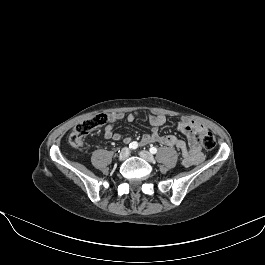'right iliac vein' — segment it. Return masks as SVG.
Returning <instances> with one entry per match:
<instances>
[{
    "mask_svg": "<svg viewBox=\"0 0 265 265\" xmlns=\"http://www.w3.org/2000/svg\"><path fill=\"white\" fill-rule=\"evenodd\" d=\"M129 155H130V150H129V148L125 147L119 153V160L123 161V160L127 159L129 157Z\"/></svg>",
    "mask_w": 265,
    "mask_h": 265,
    "instance_id": "obj_1",
    "label": "right iliac vein"
}]
</instances>
